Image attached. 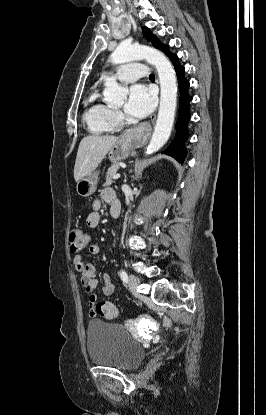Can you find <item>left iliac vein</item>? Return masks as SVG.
Wrapping results in <instances>:
<instances>
[{
	"label": "left iliac vein",
	"instance_id": "left-iliac-vein-1",
	"mask_svg": "<svg viewBox=\"0 0 266 415\" xmlns=\"http://www.w3.org/2000/svg\"><path fill=\"white\" fill-rule=\"evenodd\" d=\"M140 284V279L135 275L129 276V289L133 294H138V286Z\"/></svg>",
	"mask_w": 266,
	"mask_h": 415
}]
</instances>
